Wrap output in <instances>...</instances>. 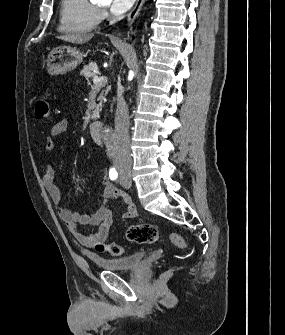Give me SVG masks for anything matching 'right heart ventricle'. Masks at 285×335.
Listing matches in <instances>:
<instances>
[{"label":"right heart ventricle","mask_w":285,"mask_h":335,"mask_svg":"<svg viewBox=\"0 0 285 335\" xmlns=\"http://www.w3.org/2000/svg\"><path fill=\"white\" fill-rule=\"evenodd\" d=\"M97 11L98 1H64L61 31L76 35L93 31L99 22Z\"/></svg>","instance_id":"obj_1"}]
</instances>
